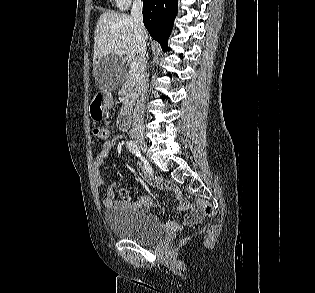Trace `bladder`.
<instances>
[{
	"label": "bladder",
	"mask_w": 315,
	"mask_h": 293,
	"mask_svg": "<svg viewBox=\"0 0 315 293\" xmlns=\"http://www.w3.org/2000/svg\"><path fill=\"white\" fill-rule=\"evenodd\" d=\"M105 219L116 236L137 243H151L162 235L161 225L154 217L128 205L110 208L105 212Z\"/></svg>",
	"instance_id": "1"
}]
</instances>
